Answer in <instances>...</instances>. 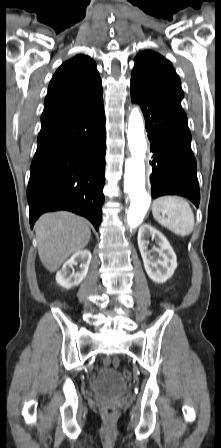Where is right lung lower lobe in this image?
I'll return each mask as SVG.
<instances>
[{"label":"right lung lower lobe","instance_id":"1","mask_svg":"<svg viewBox=\"0 0 221 448\" xmlns=\"http://www.w3.org/2000/svg\"><path fill=\"white\" fill-rule=\"evenodd\" d=\"M103 98L41 127L27 188L30 226L44 212L69 210L98 230L105 183Z\"/></svg>","mask_w":221,"mask_h":448}]
</instances>
